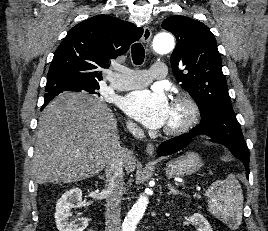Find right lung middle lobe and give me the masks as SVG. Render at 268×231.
I'll list each match as a JSON object with an SVG mask.
<instances>
[{"label":"right lung middle lobe","instance_id":"obj_1","mask_svg":"<svg viewBox=\"0 0 268 231\" xmlns=\"http://www.w3.org/2000/svg\"><path fill=\"white\" fill-rule=\"evenodd\" d=\"M100 87L99 86H84V85H75L70 83H60L53 86L46 87L45 97H51L52 99L63 91H72V92H88L90 94H99L96 92Z\"/></svg>","mask_w":268,"mask_h":231}]
</instances>
